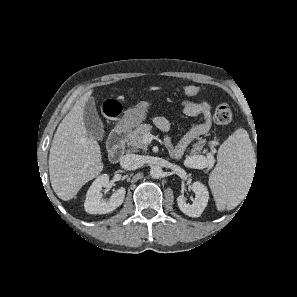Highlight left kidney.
<instances>
[{"mask_svg": "<svg viewBox=\"0 0 297 297\" xmlns=\"http://www.w3.org/2000/svg\"><path fill=\"white\" fill-rule=\"evenodd\" d=\"M192 190L195 193L192 204H188L183 195L177 197V203L184 214L190 217H199L207 206L209 192L207 188L198 181L192 184Z\"/></svg>", "mask_w": 297, "mask_h": 297, "instance_id": "left-kidney-1", "label": "left kidney"}]
</instances>
